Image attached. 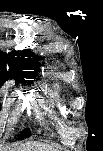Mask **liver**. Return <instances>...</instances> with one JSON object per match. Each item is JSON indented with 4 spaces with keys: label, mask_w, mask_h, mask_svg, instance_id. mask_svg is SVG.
Returning a JSON list of instances; mask_svg holds the SVG:
<instances>
[{
    "label": "liver",
    "mask_w": 103,
    "mask_h": 151,
    "mask_svg": "<svg viewBox=\"0 0 103 151\" xmlns=\"http://www.w3.org/2000/svg\"><path fill=\"white\" fill-rule=\"evenodd\" d=\"M15 151H58L56 148L40 142H27Z\"/></svg>",
    "instance_id": "obj_1"
}]
</instances>
